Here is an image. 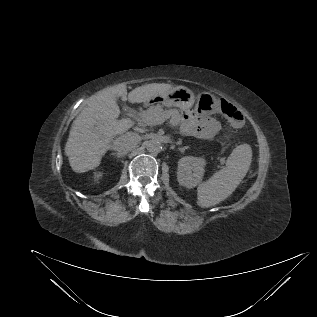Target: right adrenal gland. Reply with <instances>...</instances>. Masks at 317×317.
I'll list each match as a JSON object with an SVG mask.
<instances>
[{
  "instance_id": "right-adrenal-gland-1",
  "label": "right adrenal gland",
  "mask_w": 317,
  "mask_h": 317,
  "mask_svg": "<svg viewBox=\"0 0 317 317\" xmlns=\"http://www.w3.org/2000/svg\"><path fill=\"white\" fill-rule=\"evenodd\" d=\"M109 149H111V148L109 147ZM112 155H114V156L117 157V158H121V157H122V156L119 155L118 153H112Z\"/></svg>"
}]
</instances>
